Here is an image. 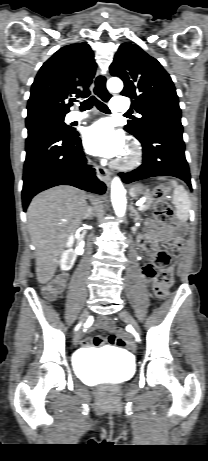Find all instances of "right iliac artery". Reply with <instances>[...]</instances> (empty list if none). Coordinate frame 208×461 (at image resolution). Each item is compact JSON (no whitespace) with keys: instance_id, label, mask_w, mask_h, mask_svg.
<instances>
[{"instance_id":"right-iliac-artery-1","label":"right iliac artery","mask_w":208,"mask_h":461,"mask_svg":"<svg viewBox=\"0 0 208 461\" xmlns=\"http://www.w3.org/2000/svg\"><path fill=\"white\" fill-rule=\"evenodd\" d=\"M79 325L76 327V330L78 329Z\"/></svg>"}]
</instances>
